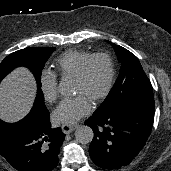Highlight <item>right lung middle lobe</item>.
Here are the masks:
<instances>
[{"instance_id":"right-lung-middle-lobe-1","label":"right lung middle lobe","mask_w":171,"mask_h":171,"mask_svg":"<svg viewBox=\"0 0 171 171\" xmlns=\"http://www.w3.org/2000/svg\"><path fill=\"white\" fill-rule=\"evenodd\" d=\"M53 51L54 48L52 47L25 48L11 53L0 64V81L5 77V75L18 66L28 67L32 71L38 84V94L34 107L40 109L41 111L46 110L43 93L40 89L41 73L49 55ZM4 124L5 122L0 120V128Z\"/></svg>"}]
</instances>
